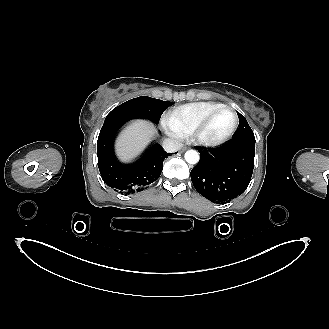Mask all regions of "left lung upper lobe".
Segmentation results:
<instances>
[{
    "instance_id": "obj_1",
    "label": "left lung upper lobe",
    "mask_w": 329,
    "mask_h": 329,
    "mask_svg": "<svg viewBox=\"0 0 329 329\" xmlns=\"http://www.w3.org/2000/svg\"><path fill=\"white\" fill-rule=\"evenodd\" d=\"M239 117V127L236 131V134L234 135L232 140L237 139H251L255 140L254 134L252 129L250 128L246 118L241 115L239 112H237Z\"/></svg>"
}]
</instances>
